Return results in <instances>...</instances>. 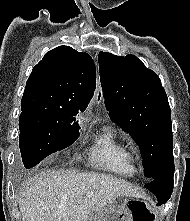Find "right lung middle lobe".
Returning <instances> with one entry per match:
<instances>
[{"label":"right lung middle lobe","instance_id":"1","mask_svg":"<svg viewBox=\"0 0 190 221\" xmlns=\"http://www.w3.org/2000/svg\"><path fill=\"white\" fill-rule=\"evenodd\" d=\"M77 114L31 110L19 117V147L25 168H32L46 156L70 146L79 136Z\"/></svg>","mask_w":190,"mask_h":221}]
</instances>
